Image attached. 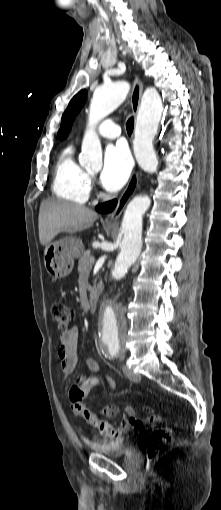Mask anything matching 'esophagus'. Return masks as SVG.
Returning a JSON list of instances; mask_svg holds the SVG:
<instances>
[{
  "instance_id": "1",
  "label": "esophagus",
  "mask_w": 221,
  "mask_h": 510,
  "mask_svg": "<svg viewBox=\"0 0 221 510\" xmlns=\"http://www.w3.org/2000/svg\"><path fill=\"white\" fill-rule=\"evenodd\" d=\"M143 92V84L138 79V77H135L131 92V107L132 111L135 116L138 114V110L140 107V101L141 96ZM138 172L133 171L130 180L128 182V185L126 186L125 190L122 192L121 196L118 199L117 205L115 209L110 212L104 219L105 223L108 225H117L118 219L121 216L124 208L126 207L129 200L133 197L135 194L137 188H138Z\"/></svg>"
}]
</instances>
